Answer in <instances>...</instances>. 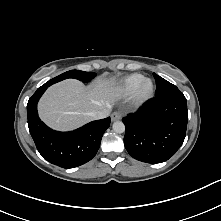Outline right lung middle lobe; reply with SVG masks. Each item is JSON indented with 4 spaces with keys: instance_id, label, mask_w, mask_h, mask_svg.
Returning <instances> with one entry per match:
<instances>
[{
    "instance_id": "right-lung-middle-lobe-1",
    "label": "right lung middle lobe",
    "mask_w": 221,
    "mask_h": 221,
    "mask_svg": "<svg viewBox=\"0 0 221 221\" xmlns=\"http://www.w3.org/2000/svg\"><path fill=\"white\" fill-rule=\"evenodd\" d=\"M95 76H96V73H94V72H84V71H80V70H70V71H67V72H65V73L49 80L48 82L45 83V85L50 86L54 83H57L59 81L67 79V78H75V79H78L82 82H89Z\"/></svg>"
}]
</instances>
